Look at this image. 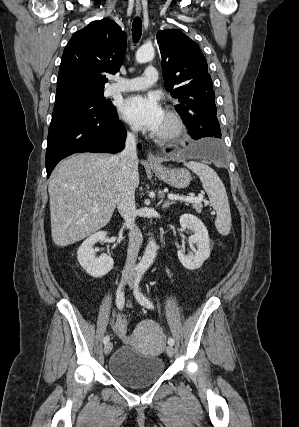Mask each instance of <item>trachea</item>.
Here are the masks:
<instances>
[{
  "label": "trachea",
  "instance_id": "3493384b",
  "mask_svg": "<svg viewBox=\"0 0 299 427\" xmlns=\"http://www.w3.org/2000/svg\"><path fill=\"white\" fill-rule=\"evenodd\" d=\"M142 34V21L141 18L136 17L132 23V38L135 43L140 40Z\"/></svg>",
  "mask_w": 299,
  "mask_h": 427
}]
</instances>
